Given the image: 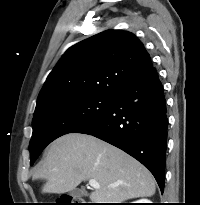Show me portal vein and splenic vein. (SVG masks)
Here are the masks:
<instances>
[{"label": "portal vein and splenic vein", "instance_id": "1", "mask_svg": "<svg viewBox=\"0 0 200 205\" xmlns=\"http://www.w3.org/2000/svg\"><path fill=\"white\" fill-rule=\"evenodd\" d=\"M89 185L95 189L100 188V184L94 179L89 180Z\"/></svg>", "mask_w": 200, "mask_h": 205}]
</instances>
